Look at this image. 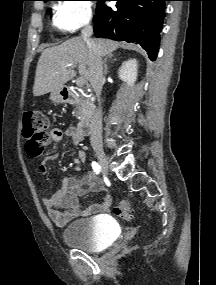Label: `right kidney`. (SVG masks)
I'll list each match as a JSON object with an SVG mask.
<instances>
[{"instance_id": "obj_1", "label": "right kidney", "mask_w": 216, "mask_h": 285, "mask_svg": "<svg viewBox=\"0 0 216 285\" xmlns=\"http://www.w3.org/2000/svg\"><path fill=\"white\" fill-rule=\"evenodd\" d=\"M138 64L136 59H129L122 63L118 71L119 78L129 87H132L137 79Z\"/></svg>"}]
</instances>
